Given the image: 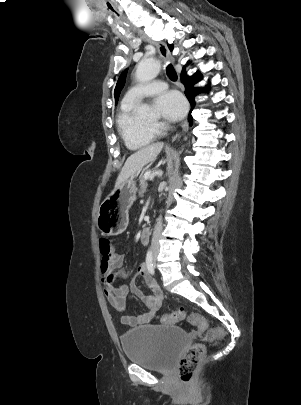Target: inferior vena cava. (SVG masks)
I'll return each mask as SVG.
<instances>
[{
	"mask_svg": "<svg viewBox=\"0 0 301 405\" xmlns=\"http://www.w3.org/2000/svg\"><path fill=\"white\" fill-rule=\"evenodd\" d=\"M162 232V217L159 216L157 219V223L155 225L154 231H153V237L151 241V251L156 254L159 251V237Z\"/></svg>",
	"mask_w": 301,
	"mask_h": 405,
	"instance_id": "inferior-vena-cava-1",
	"label": "inferior vena cava"
}]
</instances>
